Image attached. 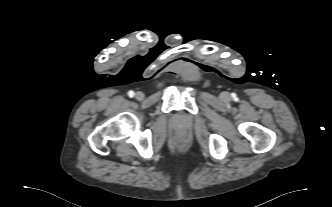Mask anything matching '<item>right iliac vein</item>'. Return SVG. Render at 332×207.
I'll return each mask as SVG.
<instances>
[{
    "instance_id": "63e3f726",
    "label": "right iliac vein",
    "mask_w": 332,
    "mask_h": 207,
    "mask_svg": "<svg viewBox=\"0 0 332 207\" xmlns=\"http://www.w3.org/2000/svg\"><path fill=\"white\" fill-rule=\"evenodd\" d=\"M135 97L137 100H143L144 99V94L142 92H137L135 94Z\"/></svg>"
}]
</instances>
